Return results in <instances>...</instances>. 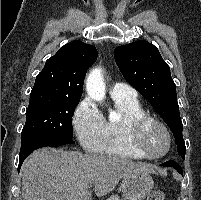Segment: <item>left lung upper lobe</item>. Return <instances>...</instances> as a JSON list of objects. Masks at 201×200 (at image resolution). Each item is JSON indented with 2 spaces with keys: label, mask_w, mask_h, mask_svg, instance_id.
I'll return each instance as SVG.
<instances>
[{
  "label": "left lung upper lobe",
  "mask_w": 201,
  "mask_h": 200,
  "mask_svg": "<svg viewBox=\"0 0 201 200\" xmlns=\"http://www.w3.org/2000/svg\"><path fill=\"white\" fill-rule=\"evenodd\" d=\"M114 57L124 78L149 101L168 125L175 137L177 150L182 159H185L186 147L176 85L171 77L170 67L157 47L139 40L116 47Z\"/></svg>",
  "instance_id": "left-lung-upper-lobe-1"
}]
</instances>
